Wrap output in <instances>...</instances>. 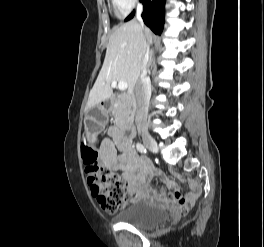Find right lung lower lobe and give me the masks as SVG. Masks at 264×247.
<instances>
[{"label": "right lung lower lobe", "instance_id": "right-lung-lower-lobe-1", "mask_svg": "<svg viewBox=\"0 0 264 247\" xmlns=\"http://www.w3.org/2000/svg\"><path fill=\"white\" fill-rule=\"evenodd\" d=\"M144 10L142 18L144 23L155 33L161 35L164 27V5L165 0H140ZM134 16V11L125 19L128 21Z\"/></svg>", "mask_w": 264, "mask_h": 247}]
</instances>
